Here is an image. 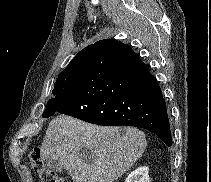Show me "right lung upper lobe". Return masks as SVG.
I'll use <instances>...</instances> for the list:
<instances>
[{"instance_id": "1", "label": "right lung upper lobe", "mask_w": 211, "mask_h": 182, "mask_svg": "<svg viewBox=\"0 0 211 182\" xmlns=\"http://www.w3.org/2000/svg\"><path fill=\"white\" fill-rule=\"evenodd\" d=\"M93 45H89L86 48H84L81 52H79L73 60L70 62L67 68L75 67L78 65H83L84 67L87 64L90 52L92 50Z\"/></svg>"}]
</instances>
